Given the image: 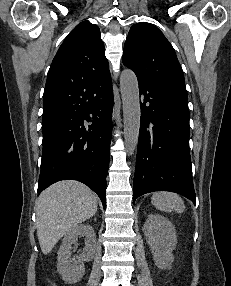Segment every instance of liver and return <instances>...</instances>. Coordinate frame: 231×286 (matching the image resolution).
Instances as JSON below:
<instances>
[{
	"label": "liver",
	"mask_w": 231,
	"mask_h": 286,
	"mask_svg": "<svg viewBox=\"0 0 231 286\" xmlns=\"http://www.w3.org/2000/svg\"><path fill=\"white\" fill-rule=\"evenodd\" d=\"M97 198L83 183L59 181L39 196L36 202V228L41 251L47 255L69 231L97 211Z\"/></svg>",
	"instance_id": "1"
}]
</instances>
